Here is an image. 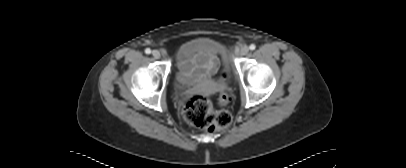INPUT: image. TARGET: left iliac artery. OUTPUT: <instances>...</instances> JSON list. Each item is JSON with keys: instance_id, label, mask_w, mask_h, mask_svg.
Returning a JSON list of instances; mask_svg holds the SVG:
<instances>
[{"instance_id": "44dca946", "label": "left iliac artery", "mask_w": 406, "mask_h": 168, "mask_svg": "<svg viewBox=\"0 0 406 168\" xmlns=\"http://www.w3.org/2000/svg\"><path fill=\"white\" fill-rule=\"evenodd\" d=\"M255 48H256L255 44H251V45L249 46V49L252 50V51L255 50Z\"/></svg>"}]
</instances>
